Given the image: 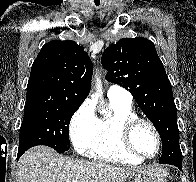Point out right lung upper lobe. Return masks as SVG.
I'll return each instance as SVG.
<instances>
[{
  "instance_id": "right-lung-upper-lobe-1",
  "label": "right lung upper lobe",
  "mask_w": 196,
  "mask_h": 182,
  "mask_svg": "<svg viewBox=\"0 0 196 182\" xmlns=\"http://www.w3.org/2000/svg\"><path fill=\"white\" fill-rule=\"evenodd\" d=\"M93 64L83 47L71 40L46 43L35 59L24 108L78 106L91 88Z\"/></svg>"
}]
</instances>
